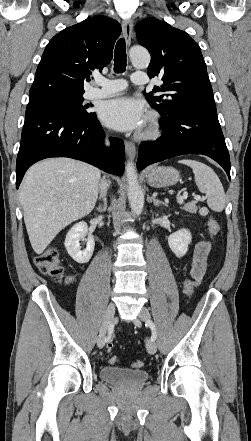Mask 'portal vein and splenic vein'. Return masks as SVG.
I'll return each instance as SVG.
<instances>
[{
    "label": "portal vein and splenic vein",
    "instance_id": "obj_1",
    "mask_svg": "<svg viewBox=\"0 0 251 441\" xmlns=\"http://www.w3.org/2000/svg\"><path fill=\"white\" fill-rule=\"evenodd\" d=\"M187 197H188L187 192H184V193H183V196L181 197V199H182V200H185V199H187ZM194 198H195V199H200L201 197H200L199 195H194Z\"/></svg>",
    "mask_w": 251,
    "mask_h": 441
}]
</instances>
